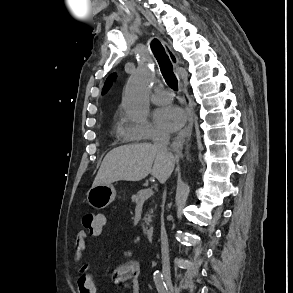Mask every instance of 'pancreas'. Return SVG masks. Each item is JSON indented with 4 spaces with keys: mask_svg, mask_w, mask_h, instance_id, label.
Instances as JSON below:
<instances>
[{
    "mask_svg": "<svg viewBox=\"0 0 293 293\" xmlns=\"http://www.w3.org/2000/svg\"><path fill=\"white\" fill-rule=\"evenodd\" d=\"M146 190H147V189H142V190H140L137 194L133 195V196L131 197L132 202H133V203H138V202L143 201V200H142V197L144 196ZM151 212H152V211H151ZM143 220L145 221V223H146L147 225H150V223H151V215H150V213H147ZM144 231H145L146 233H150V232L152 231V228H150V229H148V228H144Z\"/></svg>",
    "mask_w": 293,
    "mask_h": 293,
    "instance_id": "pancreas-1",
    "label": "pancreas"
}]
</instances>
